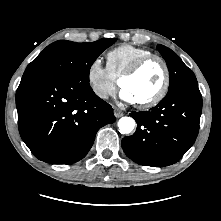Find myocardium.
Returning a JSON list of instances; mask_svg holds the SVG:
<instances>
[{"label":"myocardium","instance_id":"obj_1","mask_svg":"<svg viewBox=\"0 0 221 221\" xmlns=\"http://www.w3.org/2000/svg\"><path fill=\"white\" fill-rule=\"evenodd\" d=\"M152 60L158 61L163 67V83L158 92L153 97L146 101L136 103L139 108L154 107L159 104L167 95L171 82L170 68L167 61L162 56L151 53L149 55L141 57L136 62H134L119 78V85L122 88V82L125 79L131 78L132 76L137 74L148 62Z\"/></svg>","mask_w":221,"mask_h":221}]
</instances>
